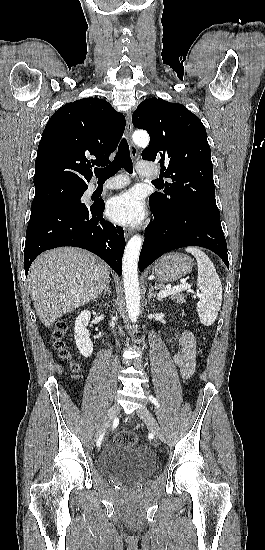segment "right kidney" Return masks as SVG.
Segmentation results:
<instances>
[{"label":"right kidney","mask_w":265,"mask_h":550,"mask_svg":"<svg viewBox=\"0 0 265 550\" xmlns=\"http://www.w3.org/2000/svg\"><path fill=\"white\" fill-rule=\"evenodd\" d=\"M91 318V313L88 310L82 311L75 320V334L77 348L80 354L85 358L90 357L93 352V343L90 340V333L86 329Z\"/></svg>","instance_id":"ca27d5eb"}]
</instances>
